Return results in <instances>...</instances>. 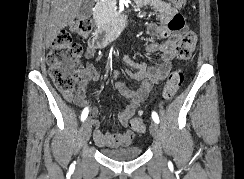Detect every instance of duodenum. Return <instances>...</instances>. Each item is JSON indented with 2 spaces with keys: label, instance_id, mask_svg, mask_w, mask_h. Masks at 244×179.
<instances>
[{
  "label": "duodenum",
  "instance_id": "duodenum-1",
  "mask_svg": "<svg viewBox=\"0 0 244 179\" xmlns=\"http://www.w3.org/2000/svg\"><path fill=\"white\" fill-rule=\"evenodd\" d=\"M100 1V0H98ZM127 16L121 12L116 14L115 21L111 24H105L101 22L99 24V29L96 33L91 37V43L96 47L105 46L114 35L118 34L124 24L126 23Z\"/></svg>",
  "mask_w": 244,
  "mask_h": 179
}]
</instances>
